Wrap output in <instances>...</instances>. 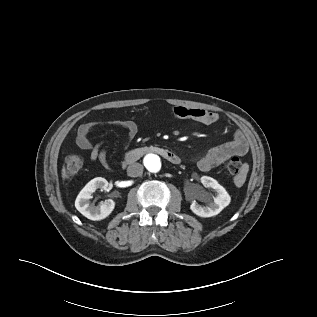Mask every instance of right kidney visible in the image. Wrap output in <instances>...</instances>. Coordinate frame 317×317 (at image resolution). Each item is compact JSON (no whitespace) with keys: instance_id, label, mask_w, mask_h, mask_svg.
I'll use <instances>...</instances> for the list:
<instances>
[{"instance_id":"1","label":"right kidney","mask_w":317,"mask_h":317,"mask_svg":"<svg viewBox=\"0 0 317 317\" xmlns=\"http://www.w3.org/2000/svg\"><path fill=\"white\" fill-rule=\"evenodd\" d=\"M108 182L102 177H97L89 181L85 187L80 191L76 200V209L86 218L94 221L102 220L109 216L115 207V202L111 199L100 202L98 206L90 205L89 199L97 190H106Z\"/></svg>"}]
</instances>
